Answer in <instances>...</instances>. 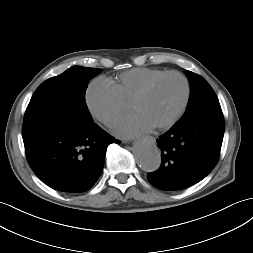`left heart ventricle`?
I'll use <instances>...</instances> for the list:
<instances>
[{"label": "left heart ventricle", "mask_w": 253, "mask_h": 253, "mask_svg": "<svg viewBox=\"0 0 253 253\" xmlns=\"http://www.w3.org/2000/svg\"><path fill=\"white\" fill-rule=\"evenodd\" d=\"M185 93L183 81L177 76H169L158 82L131 109L144 116L153 126L169 121L179 110Z\"/></svg>", "instance_id": "b2bd125f"}]
</instances>
